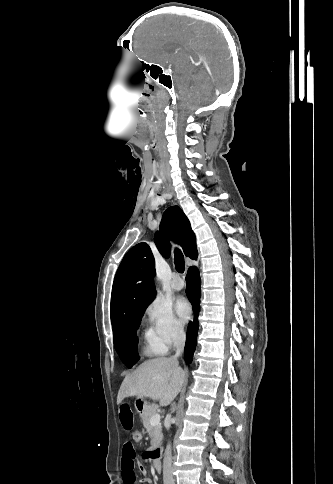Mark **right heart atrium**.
Here are the masks:
<instances>
[{"label": "right heart atrium", "mask_w": 333, "mask_h": 484, "mask_svg": "<svg viewBox=\"0 0 333 484\" xmlns=\"http://www.w3.org/2000/svg\"><path fill=\"white\" fill-rule=\"evenodd\" d=\"M149 324L150 344L157 352H165L184 336L182 322L172 307L161 299L153 300L145 310Z\"/></svg>", "instance_id": "1"}]
</instances>
